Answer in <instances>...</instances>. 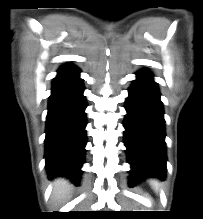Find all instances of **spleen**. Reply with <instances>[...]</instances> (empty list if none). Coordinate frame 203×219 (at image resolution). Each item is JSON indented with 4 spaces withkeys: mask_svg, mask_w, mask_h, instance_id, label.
<instances>
[{
    "mask_svg": "<svg viewBox=\"0 0 203 219\" xmlns=\"http://www.w3.org/2000/svg\"><path fill=\"white\" fill-rule=\"evenodd\" d=\"M150 185L152 186V188L155 190V191H158L160 189V186L161 184L159 183V181L155 180V179H152L150 180Z\"/></svg>",
    "mask_w": 203,
    "mask_h": 219,
    "instance_id": "obj_1",
    "label": "spleen"
}]
</instances>
